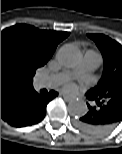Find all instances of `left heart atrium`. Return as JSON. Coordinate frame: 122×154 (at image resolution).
<instances>
[{"instance_id": "39dd6f15", "label": "left heart atrium", "mask_w": 122, "mask_h": 154, "mask_svg": "<svg viewBox=\"0 0 122 154\" xmlns=\"http://www.w3.org/2000/svg\"><path fill=\"white\" fill-rule=\"evenodd\" d=\"M65 89L66 90H73L74 89V86L72 84H66L65 85Z\"/></svg>"}]
</instances>
